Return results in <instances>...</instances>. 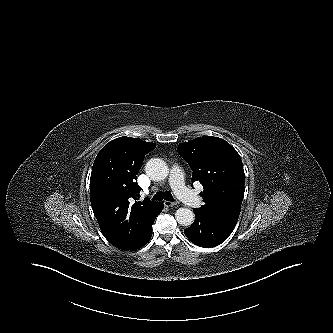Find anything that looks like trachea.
I'll return each mask as SVG.
<instances>
[{"mask_svg":"<svg viewBox=\"0 0 333 333\" xmlns=\"http://www.w3.org/2000/svg\"><path fill=\"white\" fill-rule=\"evenodd\" d=\"M153 199L154 200H163V199H165V200L171 201V202L174 201V198H173L172 194L168 191H166V192H162V191L157 192L153 196Z\"/></svg>","mask_w":333,"mask_h":333,"instance_id":"trachea-1","label":"trachea"}]
</instances>
